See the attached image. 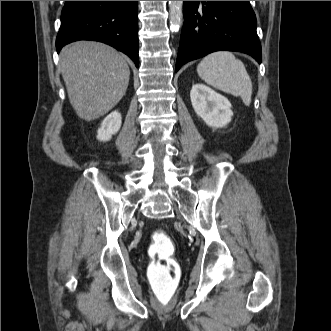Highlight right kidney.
I'll return each instance as SVG.
<instances>
[{
  "mask_svg": "<svg viewBox=\"0 0 331 331\" xmlns=\"http://www.w3.org/2000/svg\"><path fill=\"white\" fill-rule=\"evenodd\" d=\"M121 114L117 111L110 113L101 123L97 131V139L100 141H109L112 135L116 134L121 127Z\"/></svg>",
  "mask_w": 331,
  "mask_h": 331,
  "instance_id": "obj_1",
  "label": "right kidney"
}]
</instances>
